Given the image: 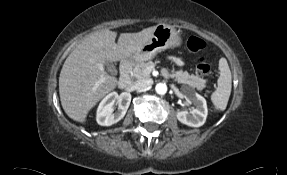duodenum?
Returning <instances> with one entry per match:
<instances>
[{
	"mask_svg": "<svg viewBox=\"0 0 287 175\" xmlns=\"http://www.w3.org/2000/svg\"><path fill=\"white\" fill-rule=\"evenodd\" d=\"M132 69V63L130 61H123L120 66V89H127L131 85L130 72Z\"/></svg>",
	"mask_w": 287,
	"mask_h": 175,
	"instance_id": "410a0bca",
	"label": "duodenum"
}]
</instances>
